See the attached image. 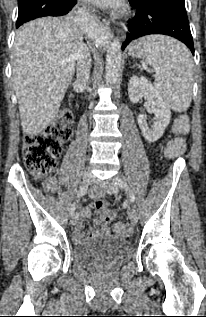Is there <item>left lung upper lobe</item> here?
Here are the masks:
<instances>
[{
  "instance_id": "1",
  "label": "left lung upper lobe",
  "mask_w": 206,
  "mask_h": 317,
  "mask_svg": "<svg viewBox=\"0 0 206 317\" xmlns=\"http://www.w3.org/2000/svg\"><path fill=\"white\" fill-rule=\"evenodd\" d=\"M130 1H132V2H137V1H139V0H130ZM167 1L184 5V0H167Z\"/></svg>"
}]
</instances>
